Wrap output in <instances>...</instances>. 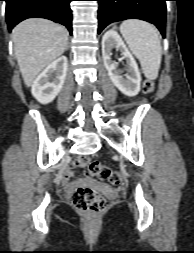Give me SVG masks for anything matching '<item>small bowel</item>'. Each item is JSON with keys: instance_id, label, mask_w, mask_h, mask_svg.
I'll list each match as a JSON object with an SVG mask.
<instances>
[{"instance_id": "obj_1", "label": "small bowel", "mask_w": 194, "mask_h": 253, "mask_svg": "<svg viewBox=\"0 0 194 253\" xmlns=\"http://www.w3.org/2000/svg\"><path fill=\"white\" fill-rule=\"evenodd\" d=\"M73 176V172L71 170H66L62 177L61 182L67 189H72L73 185L69 182V179Z\"/></svg>"}]
</instances>
